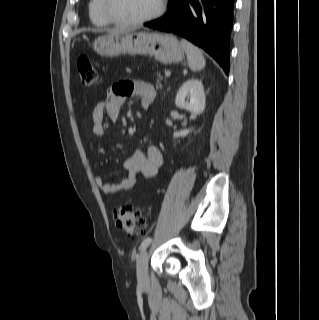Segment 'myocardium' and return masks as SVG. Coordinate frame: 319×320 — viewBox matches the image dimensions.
I'll return each mask as SVG.
<instances>
[{"mask_svg":"<svg viewBox=\"0 0 319 320\" xmlns=\"http://www.w3.org/2000/svg\"><path fill=\"white\" fill-rule=\"evenodd\" d=\"M102 8L106 18L114 24L138 25V24L147 23L159 18L165 11L166 0H159L157 9L150 15H147L141 18H136V19H121L116 17L110 8V0H102Z\"/></svg>","mask_w":319,"mask_h":320,"instance_id":"1","label":"myocardium"}]
</instances>
